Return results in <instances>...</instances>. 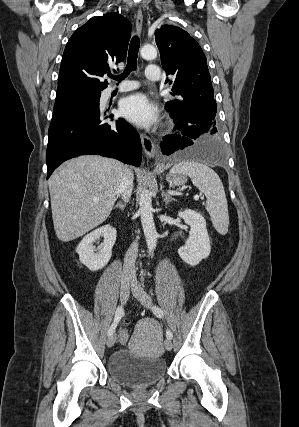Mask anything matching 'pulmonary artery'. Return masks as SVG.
Returning a JSON list of instances; mask_svg holds the SVG:
<instances>
[{
  "label": "pulmonary artery",
  "mask_w": 299,
  "mask_h": 427,
  "mask_svg": "<svg viewBox=\"0 0 299 427\" xmlns=\"http://www.w3.org/2000/svg\"><path fill=\"white\" fill-rule=\"evenodd\" d=\"M145 78L150 81H157L160 79V70L157 66L151 65L147 67L145 71ZM138 87V83L134 81H126L119 85L118 87H112L110 89V92L117 91V92H126L133 89H136Z\"/></svg>",
  "instance_id": "pulmonary-artery-1"
}]
</instances>
